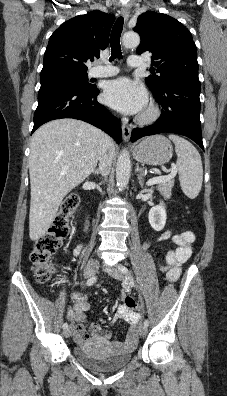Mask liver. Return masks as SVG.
<instances>
[{
  "label": "liver",
  "instance_id": "1",
  "mask_svg": "<svg viewBox=\"0 0 227 396\" xmlns=\"http://www.w3.org/2000/svg\"><path fill=\"white\" fill-rule=\"evenodd\" d=\"M106 137L98 128L71 118L50 121L35 131L28 161L32 241L45 235L63 198L95 169ZM108 146L114 156L116 145L110 138Z\"/></svg>",
  "mask_w": 227,
  "mask_h": 396
}]
</instances>
